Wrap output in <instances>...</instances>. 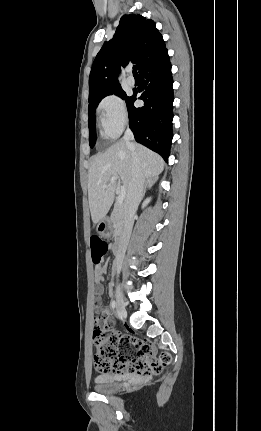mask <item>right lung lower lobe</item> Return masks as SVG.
<instances>
[{
  "label": "right lung lower lobe",
  "instance_id": "obj_1",
  "mask_svg": "<svg viewBox=\"0 0 261 431\" xmlns=\"http://www.w3.org/2000/svg\"><path fill=\"white\" fill-rule=\"evenodd\" d=\"M141 85L126 101L129 127L135 140L168 160L172 143L173 79L168 51L159 55L139 70ZM144 101V106L135 108L134 102Z\"/></svg>",
  "mask_w": 261,
  "mask_h": 431
}]
</instances>
